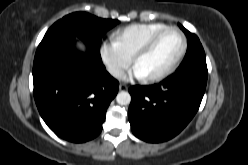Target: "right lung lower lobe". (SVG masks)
<instances>
[{
	"label": "right lung lower lobe",
	"mask_w": 248,
	"mask_h": 165,
	"mask_svg": "<svg viewBox=\"0 0 248 165\" xmlns=\"http://www.w3.org/2000/svg\"><path fill=\"white\" fill-rule=\"evenodd\" d=\"M34 98L39 113L59 137L76 143L98 136L119 82L89 46L74 49V39L38 46L33 63Z\"/></svg>",
	"instance_id": "1"
}]
</instances>
